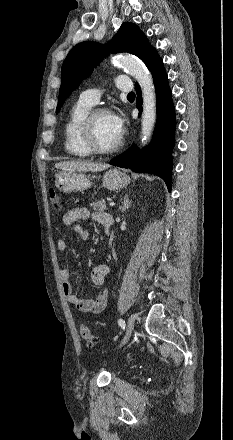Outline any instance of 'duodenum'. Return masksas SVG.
I'll return each mask as SVG.
<instances>
[{"label": "duodenum", "instance_id": "410a0bca", "mask_svg": "<svg viewBox=\"0 0 233 440\" xmlns=\"http://www.w3.org/2000/svg\"><path fill=\"white\" fill-rule=\"evenodd\" d=\"M112 225H113V219H112V216H107L106 218L103 219V221H102V226L104 227L105 232H106L107 234L110 233V230H111V228H112Z\"/></svg>", "mask_w": 233, "mask_h": 440}]
</instances>
